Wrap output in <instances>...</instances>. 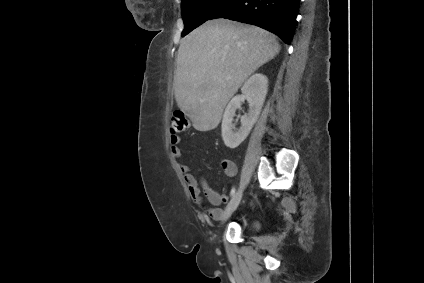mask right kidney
<instances>
[{"label":"right kidney","mask_w":424,"mask_h":283,"mask_svg":"<svg viewBox=\"0 0 424 283\" xmlns=\"http://www.w3.org/2000/svg\"><path fill=\"white\" fill-rule=\"evenodd\" d=\"M268 90V79L261 73L252 75L241 88L242 95L235 96L225 108L222 119V138L227 147H238L249 135L261 113ZM249 103L248 114L241 117V127L238 132L233 131V118L242 102Z\"/></svg>","instance_id":"1"}]
</instances>
